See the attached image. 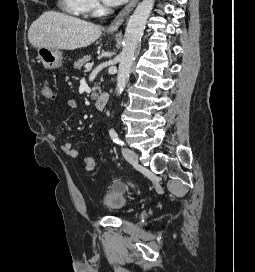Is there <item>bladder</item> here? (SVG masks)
I'll use <instances>...</instances> for the list:
<instances>
[{"mask_svg": "<svg viewBox=\"0 0 255 272\" xmlns=\"http://www.w3.org/2000/svg\"><path fill=\"white\" fill-rule=\"evenodd\" d=\"M128 203L127 196L123 189L113 190L109 189L106 190L101 198L102 206L113 213H118L123 210Z\"/></svg>", "mask_w": 255, "mask_h": 272, "instance_id": "bladder-1", "label": "bladder"}]
</instances>
